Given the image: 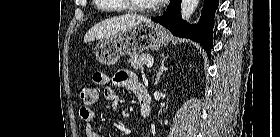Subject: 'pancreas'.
Returning <instances> with one entry per match:
<instances>
[{"mask_svg":"<svg viewBox=\"0 0 280 137\" xmlns=\"http://www.w3.org/2000/svg\"><path fill=\"white\" fill-rule=\"evenodd\" d=\"M151 59H153V57L150 54L133 55L128 60V63H130L131 67H133L134 69L142 70L147 61Z\"/></svg>","mask_w":280,"mask_h":137,"instance_id":"cf45deb5","label":"pancreas"}]
</instances>
